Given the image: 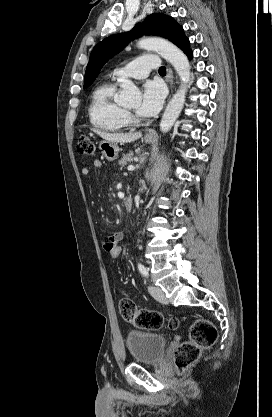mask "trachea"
Returning <instances> with one entry per match:
<instances>
[{"label":"trachea","mask_w":272,"mask_h":417,"mask_svg":"<svg viewBox=\"0 0 272 417\" xmlns=\"http://www.w3.org/2000/svg\"><path fill=\"white\" fill-rule=\"evenodd\" d=\"M159 73L165 74L166 73V67L162 66L159 68Z\"/></svg>","instance_id":"3493384b"}]
</instances>
